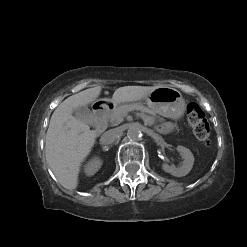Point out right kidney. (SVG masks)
Wrapping results in <instances>:
<instances>
[{"label": "right kidney", "mask_w": 247, "mask_h": 247, "mask_svg": "<svg viewBox=\"0 0 247 247\" xmlns=\"http://www.w3.org/2000/svg\"><path fill=\"white\" fill-rule=\"evenodd\" d=\"M101 165L102 160L98 157H94L84 166V171L87 176H92L100 169Z\"/></svg>", "instance_id": "ca27d5eb"}]
</instances>
